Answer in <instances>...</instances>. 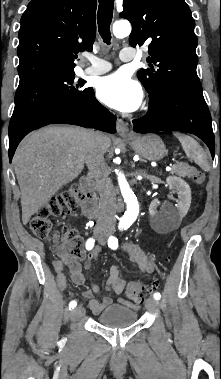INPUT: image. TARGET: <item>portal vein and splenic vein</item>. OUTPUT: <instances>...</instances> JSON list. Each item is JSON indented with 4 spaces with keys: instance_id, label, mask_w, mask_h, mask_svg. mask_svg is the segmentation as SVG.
I'll list each match as a JSON object with an SVG mask.
<instances>
[{
    "instance_id": "obj_1",
    "label": "portal vein and splenic vein",
    "mask_w": 221,
    "mask_h": 379,
    "mask_svg": "<svg viewBox=\"0 0 221 379\" xmlns=\"http://www.w3.org/2000/svg\"><path fill=\"white\" fill-rule=\"evenodd\" d=\"M173 167H174V166H173ZM171 169H173V168H171V167H167V168H166L167 171H171Z\"/></svg>"
}]
</instances>
